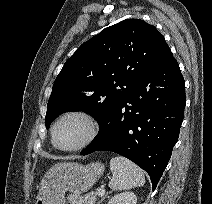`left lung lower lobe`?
Returning a JSON list of instances; mask_svg holds the SVG:
<instances>
[{
	"mask_svg": "<svg viewBox=\"0 0 212 204\" xmlns=\"http://www.w3.org/2000/svg\"><path fill=\"white\" fill-rule=\"evenodd\" d=\"M185 104V81L169 50L108 113L81 155L118 153L150 175L154 190L177 142Z\"/></svg>",
	"mask_w": 212,
	"mask_h": 204,
	"instance_id": "1",
	"label": "left lung lower lobe"
}]
</instances>
